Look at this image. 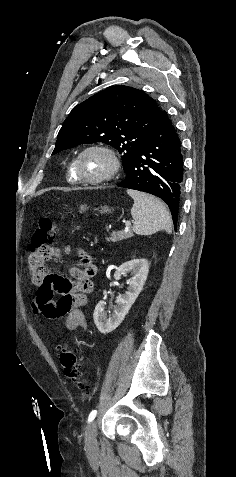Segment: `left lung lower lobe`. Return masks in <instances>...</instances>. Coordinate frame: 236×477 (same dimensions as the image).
<instances>
[{
    "mask_svg": "<svg viewBox=\"0 0 236 477\" xmlns=\"http://www.w3.org/2000/svg\"><path fill=\"white\" fill-rule=\"evenodd\" d=\"M181 143L168 114L132 157L118 186L150 193L168 204L176 229L183 187Z\"/></svg>",
    "mask_w": 236,
    "mask_h": 477,
    "instance_id": "obj_1",
    "label": "left lung lower lobe"
}]
</instances>
